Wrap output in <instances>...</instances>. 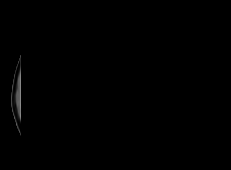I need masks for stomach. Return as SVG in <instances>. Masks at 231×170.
Instances as JSON below:
<instances>
[{
  "mask_svg": "<svg viewBox=\"0 0 231 170\" xmlns=\"http://www.w3.org/2000/svg\"><path fill=\"white\" fill-rule=\"evenodd\" d=\"M149 76H150V75H149V72H147V78H149Z\"/></svg>",
  "mask_w": 231,
  "mask_h": 170,
  "instance_id": "obj_1",
  "label": "stomach"
}]
</instances>
